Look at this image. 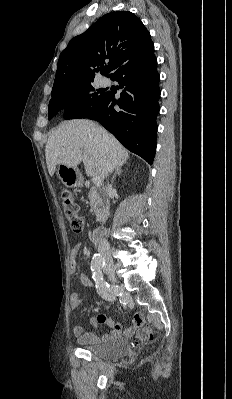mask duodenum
<instances>
[{"label":"duodenum","mask_w":232,"mask_h":399,"mask_svg":"<svg viewBox=\"0 0 232 399\" xmlns=\"http://www.w3.org/2000/svg\"><path fill=\"white\" fill-rule=\"evenodd\" d=\"M105 233V228L104 227H98L96 228L91 235V241L93 243H99Z\"/></svg>","instance_id":"duodenum-1"}]
</instances>
